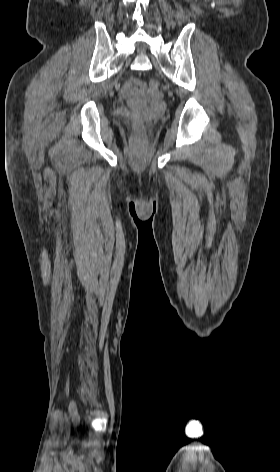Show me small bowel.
Instances as JSON below:
<instances>
[{
  "label": "small bowel",
  "mask_w": 280,
  "mask_h": 472,
  "mask_svg": "<svg viewBox=\"0 0 280 472\" xmlns=\"http://www.w3.org/2000/svg\"><path fill=\"white\" fill-rule=\"evenodd\" d=\"M140 87H143V84H142L139 80H137V79H135V78H131V79H129V80L126 82V84H125V86H124V88H123V92H124L125 94H133V93H135V92L138 90V88H140Z\"/></svg>",
  "instance_id": "obj_1"
}]
</instances>
